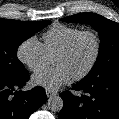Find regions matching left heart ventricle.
<instances>
[{"mask_svg":"<svg viewBox=\"0 0 119 119\" xmlns=\"http://www.w3.org/2000/svg\"><path fill=\"white\" fill-rule=\"evenodd\" d=\"M94 53V41L90 36H83L73 50L62 56L54 57L55 66H62L74 77L81 73L89 64Z\"/></svg>","mask_w":119,"mask_h":119,"instance_id":"left-heart-ventricle-1","label":"left heart ventricle"}]
</instances>
